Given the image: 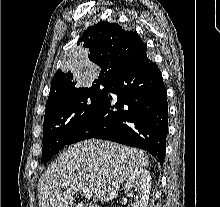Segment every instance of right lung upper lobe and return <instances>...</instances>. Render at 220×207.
<instances>
[{
    "instance_id": "1",
    "label": "right lung upper lobe",
    "mask_w": 220,
    "mask_h": 207,
    "mask_svg": "<svg viewBox=\"0 0 220 207\" xmlns=\"http://www.w3.org/2000/svg\"><path fill=\"white\" fill-rule=\"evenodd\" d=\"M77 45L87 48L89 60L101 68L93 85L109 84L124 68L147 51V45L136 32L109 22L89 27ZM80 88L74 73L59 69L53 76L47 105Z\"/></svg>"
}]
</instances>
